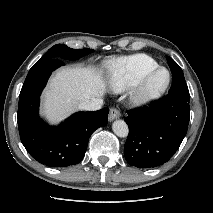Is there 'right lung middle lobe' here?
I'll return each mask as SVG.
<instances>
[{"label":"right lung middle lobe","mask_w":213,"mask_h":213,"mask_svg":"<svg viewBox=\"0 0 213 213\" xmlns=\"http://www.w3.org/2000/svg\"><path fill=\"white\" fill-rule=\"evenodd\" d=\"M93 49H71L63 44H56L51 47L44 56H42L37 62H45L51 59H68V60H77L89 53H91Z\"/></svg>","instance_id":"right-lung-middle-lobe-1"}]
</instances>
